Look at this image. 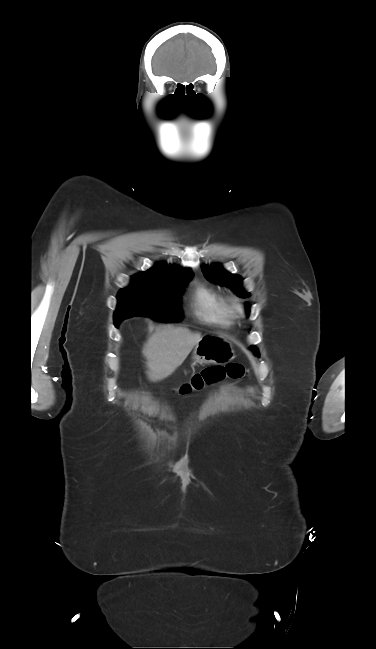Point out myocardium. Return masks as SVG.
<instances>
[{"label": "myocardium", "instance_id": "1", "mask_svg": "<svg viewBox=\"0 0 376 649\" xmlns=\"http://www.w3.org/2000/svg\"><path fill=\"white\" fill-rule=\"evenodd\" d=\"M229 306H230L232 312H234L236 314H240V313L243 312V303H242L241 299H239L237 297H231L229 299Z\"/></svg>", "mask_w": 376, "mask_h": 649}]
</instances>
